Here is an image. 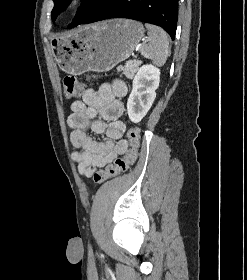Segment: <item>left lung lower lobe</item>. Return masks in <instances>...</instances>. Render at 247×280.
Returning a JSON list of instances; mask_svg holds the SVG:
<instances>
[{
    "label": "left lung lower lobe",
    "mask_w": 247,
    "mask_h": 280,
    "mask_svg": "<svg viewBox=\"0 0 247 280\" xmlns=\"http://www.w3.org/2000/svg\"><path fill=\"white\" fill-rule=\"evenodd\" d=\"M109 18H130L162 27L175 38L178 20V0H107L79 24ZM78 24V25H79ZM72 24L68 28H73Z\"/></svg>",
    "instance_id": "left-lung-lower-lobe-1"
}]
</instances>
